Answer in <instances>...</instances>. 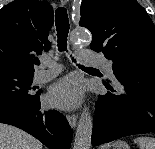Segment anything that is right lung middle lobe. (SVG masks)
<instances>
[{"label": "right lung middle lobe", "instance_id": "dd1d6c3e", "mask_svg": "<svg viewBox=\"0 0 155 149\" xmlns=\"http://www.w3.org/2000/svg\"><path fill=\"white\" fill-rule=\"evenodd\" d=\"M33 74L0 67V103H29L39 98L32 87Z\"/></svg>", "mask_w": 155, "mask_h": 149}]
</instances>
